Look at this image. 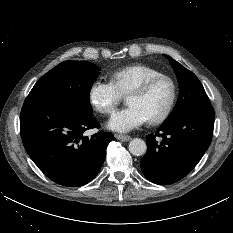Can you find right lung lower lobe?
Listing matches in <instances>:
<instances>
[{"mask_svg": "<svg viewBox=\"0 0 233 233\" xmlns=\"http://www.w3.org/2000/svg\"><path fill=\"white\" fill-rule=\"evenodd\" d=\"M92 128H99L98 122L66 102L26 98L20 114L28 155L48 178L68 187L85 185L97 175L114 139L110 132L83 135Z\"/></svg>", "mask_w": 233, "mask_h": 233, "instance_id": "obj_1", "label": "right lung lower lobe"}]
</instances>
